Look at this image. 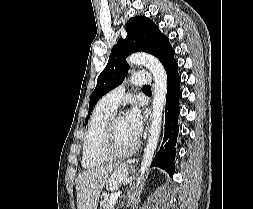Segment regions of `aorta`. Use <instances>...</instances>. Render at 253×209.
Returning <instances> with one entry per match:
<instances>
[{"instance_id": "1", "label": "aorta", "mask_w": 253, "mask_h": 209, "mask_svg": "<svg viewBox=\"0 0 253 209\" xmlns=\"http://www.w3.org/2000/svg\"><path fill=\"white\" fill-rule=\"evenodd\" d=\"M127 61L131 65H142L146 67L152 73L154 78L152 121L149 129L147 145L145 147L143 159L141 162L140 176L137 178V189L153 160L155 151L158 146L161 132L162 115L167 92V75L163 65L157 58L152 55L145 53H135L131 55Z\"/></svg>"}]
</instances>
